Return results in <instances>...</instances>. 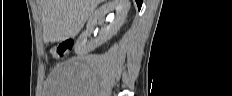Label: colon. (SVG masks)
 <instances>
[{
  "instance_id": "5ec220e1",
  "label": "colon",
  "mask_w": 232,
  "mask_h": 96,
  "mask_svg": "<svg viewBox=\"0 0 232 96\" xmlns=\"http://www.w3.org/2000/svg\"><path fill=\"white\" fill-rule=\"evenodd\" d=\"M74 47V41L72 39H66L50 49V55L55 59H64L72 51Z\"/></svg>"
}]
</instances>
